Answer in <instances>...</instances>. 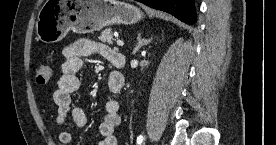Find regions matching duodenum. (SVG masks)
Returning <instances> with one entry per match:
<instances>
[{
    "label": "duodenum",
    "mask_w": 276,
    "mask_h": 145,
    "mask_svg": "<svg viewBox=\"0 0 276 145\" xmlns=\"http://www.w3.org/2000/svg\"><path fill=\"white\" fill-rule=\"evenodd\" d=\"M113 65L118 68V70L115 72V75L110 80V87L114 90H120L124 86L125 79L123 74L120 71V68H122L126 63V56L121 53H116L112 59H111Z\"/></svg>",
    "instance_id": "410a0bca"
}]
</instances>
